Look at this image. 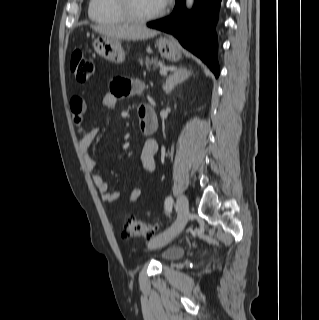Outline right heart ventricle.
Returning a JSON list of instances; mask_svg holds the SVG:
<instances>
[{"mask_svg":"<svg viewBox=\"0 0 319 320\" xmlns=\"http://www.w3.org/2000/svg\"><path fill=\"white\" fill-rule=\"evenodd\" d=\"M88 15L91 20L103 25H119L128 22L120 13L115 0H90Z\"/></svg>","mask_w":319,"mask_h":320,"instance_id":"right-heart-ventricle-1","label":"right heart ventricle"}]
</instances>
